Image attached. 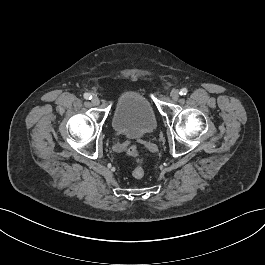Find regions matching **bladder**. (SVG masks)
Here are the masks:
<instances>
[{
    "mask_svg": "<svg viewBox=\"0 0 265 265\" xmlns=\"http://www.w3.org/2000/svg\"><path fill=\"white\" fill-rule=\"evenodd\" d=\"M113 128L128 138H141L152 133L157 119L148 98L138 90H127L117 99Z\"/></svg>",
    "mask_w": 265,
    "mask_h": 265,
    "instance_id": "bladder-1",
    "label": "bladder"
}]
</instances>
